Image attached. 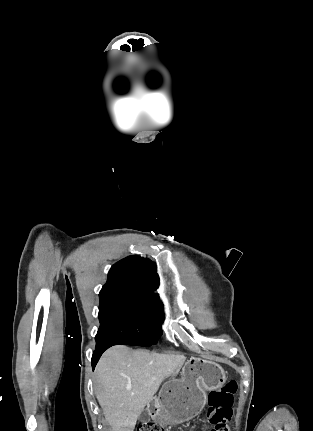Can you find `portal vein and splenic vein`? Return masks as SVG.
Returning a JSON list of instances; mask_svg holds the SVG:
<instances>
[{"instance_id": "1", "label": "portal vein and splenic vein", "mask_w": 313, "mask_h": 431, "mask_svg": "<svg viewBox=\"0 0 313 431\" xmlns=\"http://www.w3.org/2000/svg\"><path fill=\"white\" fill-rule=\"evenodd\" d=\"M127 389H128V390H131V386H128V387H127Z\"/></svg>"}]
</instances>
